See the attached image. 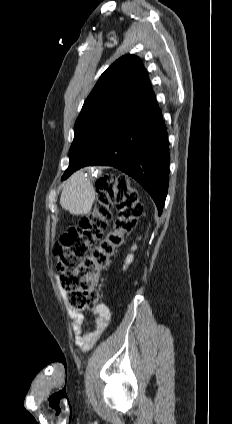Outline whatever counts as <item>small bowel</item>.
Returning <instances> with one entry per match:
<instances>
[{
	"mask_svg": "<svg viewBox=\"0 0 232 424\" xmlns=\"http://www.w3.org/2000/svg\"><path fill=\"white\" fill-rule=\"evenodd\" d=\"M70 315L76 344L85 351L99 340L111 319L110 310L104 303H99L94 307L90 318L76 310H71ZM89 320L92 322V327L87 326Z\"/></svg>",
	"mask_w": 232,
	"mask_h": 424,
	"instance_id": "obj_1",
	"label": "small bowel"
}]
</instances>
